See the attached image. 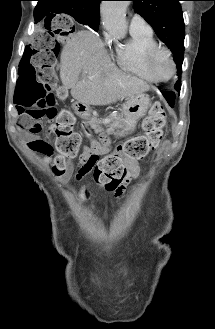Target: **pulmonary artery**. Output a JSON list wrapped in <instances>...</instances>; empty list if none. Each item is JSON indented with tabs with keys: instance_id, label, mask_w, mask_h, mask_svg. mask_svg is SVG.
Wrapping results in <instances>:
<instances>
[{
	"instance_id": "pulmonary-artery-1",
	"label": "pulmonary artery",
	"mask_w": 215,
	"mask_h": 329,
	"mask_svg": "<svg viewBox=\"0 0 215 329\" xmlns=\"http://www.w3.org/2000/svg\"><path fill=\"white\" fill-rule=\"evenodd\" d=\"M129 29L130 32H144V33L152 32L151 26L139 14H134L131 17Z\"/></svg>"
}]
</instances>
